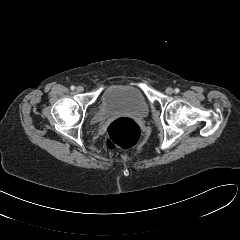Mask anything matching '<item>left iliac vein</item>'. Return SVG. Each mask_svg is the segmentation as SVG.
<instances>
[{
    "instance_id": "left-iliac-vein-1",
    "label": "left iliac vein",
    "mask_w": 240,
    "mask_h": 240,
    "mask_svg": "<svg viewBox=\"0 0 240 240\" xmlns=\"http://www.w3.org/2000/svg\"><path fill=\"white\" fill-rule=\"evenodd\" d=\"M173 92H174V90H173L171 87H168V88L166 89V94H168V95L173 94Z\"/></svg>"
}]
</instances>
